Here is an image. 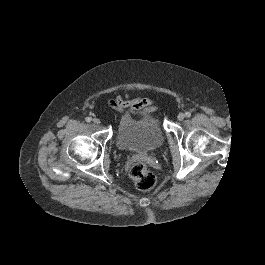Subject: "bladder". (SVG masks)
<instances>
[{"label": "bladder", "mask_w": 265, "mask_h": 265, "mask_svg": "<svg viewBox=\"0 0 265 265\" xmlns=\"http://www.w3.org/2000/svg\"><path fill=\"white\" fill-rule=\"evenodd\" d=\"M115 139L121 149L146 153L162 146L164 134L153 114L142 122L127 115L122 117Z\"/></svg>", "instance_id": "obj_1"}]
</instances>
